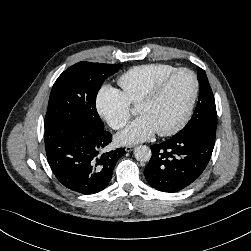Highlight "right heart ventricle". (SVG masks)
Masks as SVG:
<instances>
[{
	"instance_id": "1",
	"label": "right heart ventricle",
	"mask_w": 251,
	"mask_h": 251,
	"mask_svg": "<svg viewBox=\"0 0 251 251\" xmlns=\"http://www.w3.org/2000/svg\"><path fill=\"white\" fill-rule=\"evenodd\" d=\"M176 69L174 65L163 63L136 66L123 73L118 84L127 102L138 104L157 82Z\"/></svg>"
}]
</instances>
